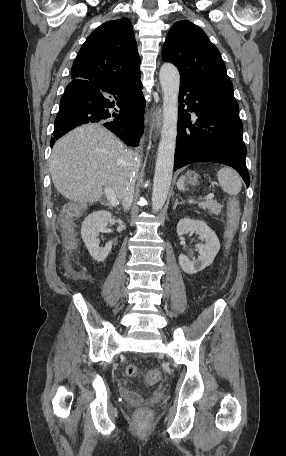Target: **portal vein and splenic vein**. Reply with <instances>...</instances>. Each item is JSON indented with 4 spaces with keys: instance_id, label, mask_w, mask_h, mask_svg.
<instances>
[{
    "instance_id": "portal-vein-and-splenic-vein-1",
    "label": "portal vein and splenic vein",
    "mask_w": 286,
    "mask_h": 456,
    "mask_svg": "<svg viewBox=\"0 0 286 456\" xmlns=\"http://www.w3.org/2000/svg\"><path fill=\"white\" fill-rule=\"evenodd\" d=\"M104 192L106 194L107 199L110 201V203L113 206H116L118 204V200L113 192V190L110 187H105ZM214 197V194L210 193L208 194L204 199L209 200Z\"/></svg>"
}]
</instances>
